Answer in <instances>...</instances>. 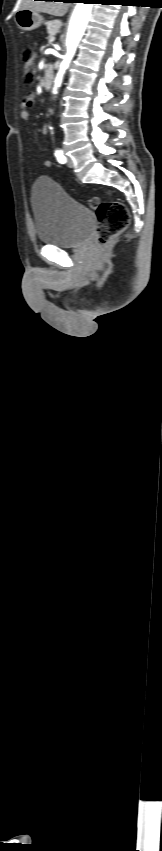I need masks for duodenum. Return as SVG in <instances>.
Wrapping results in <instances>:
<instances>
[{"label": "duodenum", "mask_w": 162, "mask_h": 851, "mask_svg": "<svg viewBox=\"0 0 162 851\" xmlns=\"http://www.w3.org/2000/svg\"><path fill=\"white\" fill-rule=\"evenodd\" d=\"M52 80H53V74H52V71H51L49 68H47V69L45 70L44 75H43V78H42V86H43V88H44V89H48V88L51 86V84H52Z\"/></svg>", "instance_id": "obj_1"}]
</instances>
